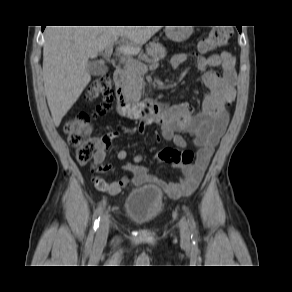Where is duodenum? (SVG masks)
Segmentation results:
<instances>
[{
	"label": "duodenum",
	"instance_id": "1",
	"mask_svg": "<svg viewBox=\"0 0 292 292\" xmlns=\"http://www.w3.org/2000/svg\"><path fill=\"white\" fill-rule=\"evenodd\" d=\"M113 77L117 96V109L120 115L140 119L143 122L151 121L162 113L165 104L159 100H133L125 96L122 86L125 76L121 66L116 67Z\"/></svg>",
	"mask_w": 292,
	"mask_h": 292
}]
</instances>
